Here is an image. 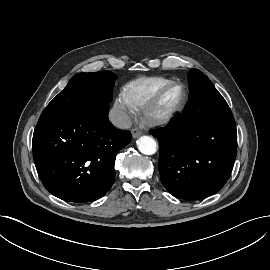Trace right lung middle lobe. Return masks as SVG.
I'll return each mask as SVG.
<instances>
[{
  "mask_svg": "<svg viewBox=\"0 0 270 270\" xmlns=\"http://www.w3.org/2000/svg\"><path fill=\"white\" fill-rule=\"evenodd\" d=\"M116 79V75L109 71L79 73L47 105L41 116L81 113L108 105Z\"/></svg>",
  "mask_w": 270,
  "mask_h": 270,
  "instance_id": "obj_1",
  "label": "right lung middle lobe"
}]
</instances>
